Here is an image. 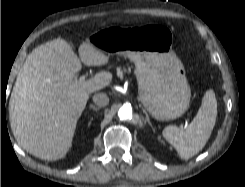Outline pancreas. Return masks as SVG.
I'll list each match as a JSON object with an SVG mask.
<instances>
[{"label": "pancreas", "instance_id": "1", "mask_svg": "<svg viewBox=\"0 0 245 187\" xmlns=\"http://www.w3.org/2000/svg\"><path fill=\"white\" fill-rule=\"evenodd\" d=\"M130 72H131V67L130 66H128L127 69L126 68H121V67L117 68V76L119 78H121V79L123 78V75L125 73H130Z\"/></svg>", "mask_w": 245, "mask_h": 187}]
</instances>
